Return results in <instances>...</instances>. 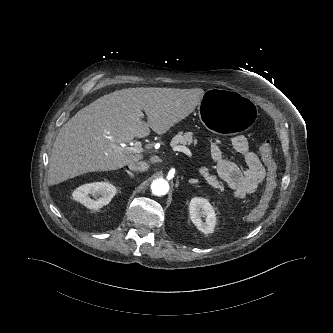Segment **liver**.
I'll list each match as a JSON object with an SVG mask.
<instances>
[{"label": "liver", "instance_id": "liver-1", "mask_svg": "<svg viewBox=\"0 0 333 333\" xmlns=\"http://www.w3.org/2000/svg\"><path fill=\"white\" fill-rule=\"evenodd\" d=\"M204 94L200 88L141 87L98 98L60 129L50 156V183L88 172L117 170L141 160L142 154H127L121 144L148 136L150 128L158 135L166 133L194 111ZM142 110L147 122L141 119Z\"/></svg>", "mask_w": 333, "mask_h": 333}]
</instances>
